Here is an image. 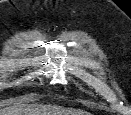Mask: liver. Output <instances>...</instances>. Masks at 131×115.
Instances as JSON below:
<instances>
[{"label":"liver","instance_id":"1","mask_svg":"<svg viewBox=\"0 0 131 115\" xmlns=\"http://www.w3.org/2000/svg\"><path fill=\"white\" fill-rule=\"evenodd\" d=\"M63 113L76 114L75 112H65L55 107L21 103H15L13 106L0 109V115H61Z\"/></svg>","mask_w":131,"mask_h":115}]
</instances>
